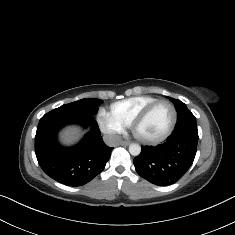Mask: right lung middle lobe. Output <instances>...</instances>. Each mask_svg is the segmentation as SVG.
I'll return each mask as SVG.
<instances>
[{"label": "right lung middle lobe", "mask_w": 235, "mask_h": 235, "mask_svg": "<svg viewBox=\"0 0 235 235\" xmlns=\"http://www.w3.org/2000/svg\"><path fill=\"white\" fill-rule=\"evenodd\" d=\"M101 103L102 100L100 99L86 98L67 105H62L61 107L56 108V110L66 114L79 113L84 115H95L98 111V106Z\"/></svg>", "instance_id": "dd1d6c3e"}]
</instances>
